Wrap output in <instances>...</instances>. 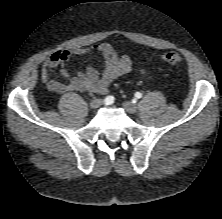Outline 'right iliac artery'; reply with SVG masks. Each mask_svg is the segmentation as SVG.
Wrapping results in <instances>:
<instances>
[{"label": "right iliac artery", "mask_w": 222, "mask_h": 219, "mask_svg": "<svg viewBox=\"0 0 222 219\" xmlns=\"http://www.w3.org/2000/svg\"><path fill=\"white\" fill-rule=\"evenodd\" d=\"M106 104H112L114 102V97L113 96H108L105 98Z\"/></svg>", "instance_id": "obj_1"}]
</instances>
